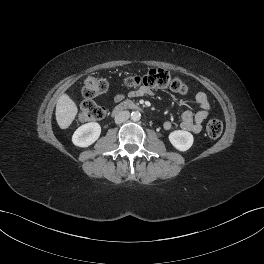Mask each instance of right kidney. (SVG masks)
<instances>
[{
	"label": "right kidney",
	"instance_id": "right-kidney-1",
	"mask_svg": "<svg viewBox=\"0 0 264 264\" xmlns=\"http://www.w3.org/2000/svg\"><path fill=\"white\" fill-rule=\"evenodd\" d=\"M101 126L96 122H90L80 126L72 136V142L79 147H88L98 140Z\"/></svg>",
	"mask_w": 264,
	"mask_h": 264
}]
</instances>
